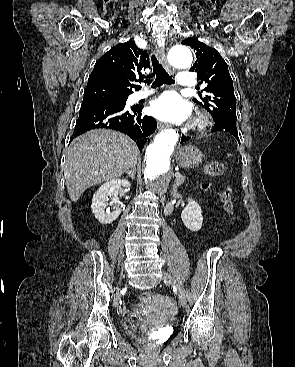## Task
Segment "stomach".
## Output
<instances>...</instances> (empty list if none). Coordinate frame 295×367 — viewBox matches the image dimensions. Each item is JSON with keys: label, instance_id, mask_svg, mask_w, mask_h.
I'll use <instances>...</instances> for the list:
<instances>
[{"label": "stomach", "instance_id": "1", "mask_svg": "<svg viewBox=\"0 0 295 367\" xmlns=\"http://www.w3.org/2000/svg\"><path fill=\"white\" fill-rule=\"evenodd\" d=\"M203 157L202 152L192 145L182 147L175 154L177 164L185 169L199 166L203 162Z\"/></svg>", "mask_w": 295, "mask_h": 367}]
</instances>
